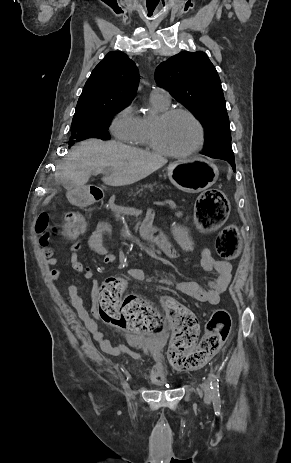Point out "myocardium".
<instances>
[{"instance_id":"1","label":"myocardium","mask_w":291,"mask_h":463,"mask_svg":"<svg viewBox=\"0 0 291 463\" xmlns=\"http://www.w3.org/2000/svg\"><path fill=\"white\" fill-rule=\"evenodd\" d=\"M177 115H185L189 117L197 126L198 128V141L197 143L190 149L184 151V152H175L170 149H168L166 146H164L160 140H159V134H158V128L160 123L165 122ZM205 143V129L200 121V119L190 110L184 109V108H171V109H166L162 111L156 119L151 121L150 123V144L151 147L168 157L172 158H186L189 157L198 151H200Z\"/></svg>"}]
</instances>
